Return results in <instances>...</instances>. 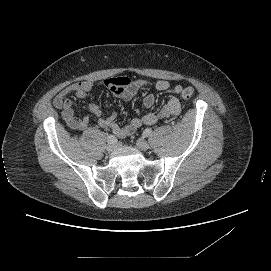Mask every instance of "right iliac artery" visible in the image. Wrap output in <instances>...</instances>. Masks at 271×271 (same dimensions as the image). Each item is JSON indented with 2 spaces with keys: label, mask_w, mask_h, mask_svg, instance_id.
Instances as JSON below:
<instances>
[{
  "label": "right iliac artery",
  "mask_w": 271,
  "mask_h": 271,
  "mask_svg": "<svg viewBox=\"0 0 271 271\" xmlns=\"http://www.w3.org/2000/svg\"><path fill=\"white\" fill-rule=\"evenodd\" d=\"M116 141V137L112 134H110L108 137H107V142L108 143H114Z\"/></svg>",
  "instance_id": "1"
}]
</instances>
